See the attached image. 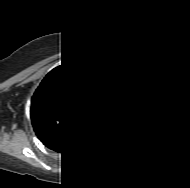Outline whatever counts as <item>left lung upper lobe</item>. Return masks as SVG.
Listing matches in <instances>:
<instances>
[{
  "mask_svg": "<svg viewBox=\"0 0 190 188\" xmlns=\"http://www.w3.org/2000/svg\"><path fill=\"white\" fill-rule=\"evenodd\" d=\"M104 76L118 89L131 125L150 127L159 122L157 107L163 101V94L148 76L133 67L107 69Z\"/></svg>",
  "mask_w": 190,
  "mask_h": 188,
  "instance_id": "5c2ea615",
  "label": "left lung upper lobe"
}]
</instances>
